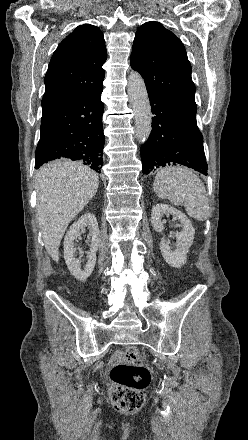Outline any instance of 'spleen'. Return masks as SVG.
Masks as SVG:
<instances>
[{"label": "spleen", "instance_id": "3e777b00", "mask_svg": "<svg viewBox=\"0 0 248 440\" xmlns=\"http://www.w3.org/2000/svg\"><path fill=\"white\" fill-rule=\"evenodd\" d=\"M154 192L162 199L168 198L174 205L184 204L187 214L199 221H205L209 204L202 181L184 167H165L156 174Z\"/></svg>", "mask_w": 248, "mask_h": 440}]
</instances>
